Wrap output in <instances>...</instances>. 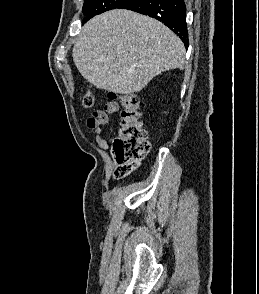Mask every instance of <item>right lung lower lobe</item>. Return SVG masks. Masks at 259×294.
Masks as SVG:
<instances>
[{"label":"right lung lower lobe","instance_id":"right-lung-lower-lobe-1","mask_svg":"<svg viewBox=\"0 0 259 294\" xmlns=\"http://www.w3.org/2000/svg\"><path fill=\"white\" fill-rule=\"evenodd\" d=\"M155 18L175 32L188 48L184 0H131L120 7Z\"/></svg>","mask_w":259,"mask_h":294}]
</instances>
